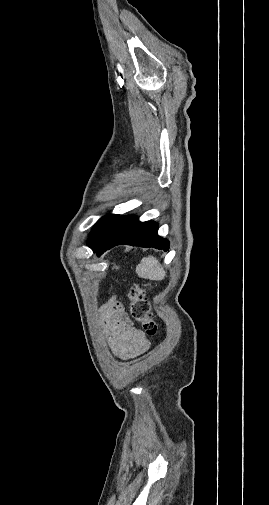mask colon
Returning a JSON list of instances; mask_svg holds the SVG:
<instances>
[{
    "mask_svg": "<svg viewBox=\"0 0 269 505\" xmlns=\"http://www.w3.org/2000/svg\"><path fill=\"white\" fill-rule=\"evenodd\" d=\"M128 296L130 299L129 314L131 318L141 325L147 335H156L159 325L151 311L145 289L134 285L130 288Z\"/></svg>",
    "mask_w": 269,
    "mask_h": 505,
    "instance_id": "colon-1",
    "label": "colon"
}]
</instances>
